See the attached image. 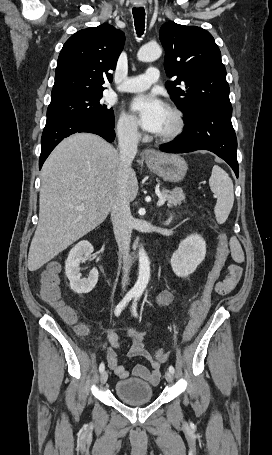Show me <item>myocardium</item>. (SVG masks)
<instances>
[{"label":"myocardium","mask_w":272,"mask_h":455,"mask_svg":"<svg viewBox=\"0 0 272 455\" xmlns=\"http://www.w3.org/2000/svg\"><path fill=\"white\" fill-rule=\"evenodd\" d=\"M167 109L172 117V125L168 131L158 135V140L162 142L175 140L181 135L185 127V120L181 110L174 106H169Z\"/></svg>","instance_id":"obj_1"}]
</instances>
